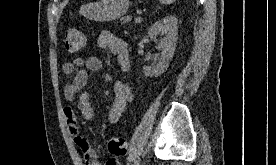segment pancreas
Returning a JSON list of instances; mask_svg holds the SVG:
<instances>
[{"instance_id": "pancreas-1", "label": "pancreas", "mask_w": 276, "mask_h": 165, "mask_svg": "<svg viewBox=\"0 0 276 165\" xmlns=\"http://www.w3.org/2000/svg\"><path fill=\"white\" fill-rule=\"evenodd\" d=\"M130 20H131L130 17H126V18H123L121 21H122V24H125V23H128Z\"/></svg>"}]
</instances>
